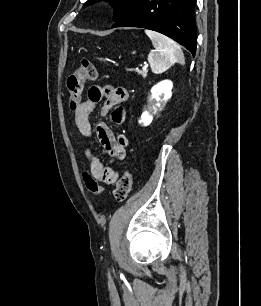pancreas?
<instances>
[{
    "label": "pancreas",
    "instance_id": "1",
    "mask_svg": "<svg viewBox=\"0 0 261 306\" xmlns=\"http://www.w3.org/2000/svg\"><path fill=\"white\" fill-rule=\"evenodd\" d=\"M139 74L145 78L147 76V71H139Z\"/></svg>",
    "mask_w": 261,
    "mask_h": 306
}]
</instances>
